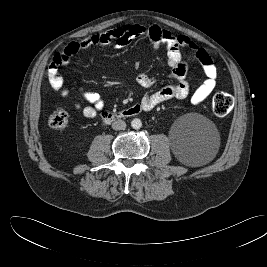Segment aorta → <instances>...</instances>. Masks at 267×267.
I'll list each match as a JSON object with an SVG mask.
<instances>
[{
    "mask_svg": "<svg viewBox=\"0 0 267 267\" xmlns=\"http://www.w3.org/2000/svg\"><path fill=\"white\" fill-rule=\"evenodd\" d=\"M131 127L133 129H140L142 127V122L140 119L135 118L131 121Z\"/></svg>",
    "mask_w": 267,
    "mask_h": 267,
    "instance_id": "1",
    "label": "aorta"
}]
</instances>
